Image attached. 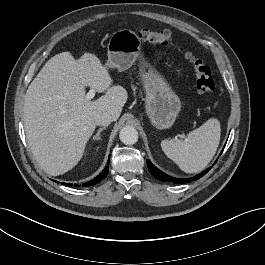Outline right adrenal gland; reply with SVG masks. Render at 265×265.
<instances>
[{
  "label": "right adrenal gland",
  "mask_w": 265,
  "mask_h": 265,
  "mask_svg": "<svg viewBox=\"0 0 265 265\" xmlns=\"http://www.w3.org/2000/svg\"><path fill=\"white\" fill-rule=\"evenodd\" d=\"M106 127H102L98 130V132L96 133V135L93 137V140H99L100 139V134L103 130H105Z\"/></svg>",
  "instance_id": "2a0ac1e0"
}]
</instances>
